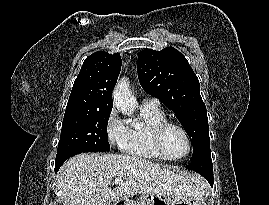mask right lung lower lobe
I'll list each match as a JSON object with an SVG mask.
<instances>
[{"mask_svg":"<svg viewBox=\"0 0 269 205\" xmlns=\"http://www.w3.org/2000/svg\"><path fill=\"white\" fill-rule=\"evenodd\" d=\"M84 152H98L95 150L89 149H78V148H66L60 151H57L56 160H55V172L59 170L61 165L70 157L84 153Z\"/></svg>","mask_w":269,"mask_h":205,"instance_id":"obj_1","label":"right lung lower lobe"}]
</instances>
